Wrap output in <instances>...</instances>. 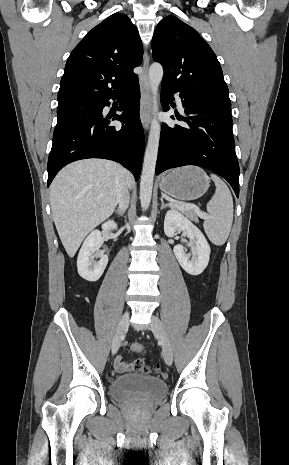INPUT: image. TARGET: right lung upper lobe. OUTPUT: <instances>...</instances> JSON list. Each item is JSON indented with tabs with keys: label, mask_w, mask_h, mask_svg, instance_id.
Returning a JSON list of instances; mask_svg holds the SVG:
<instances>
[{
	"label": "right lung upper lobe",
	"mask_w": 289,
	"mask_h": 465,
	"mask_svg": "<svg viewBox=\"0 0 289 465\" xmlns=\"http://www.w3.org/2000/svg\"><path fill=\"white\" fill-rule=\"evenodd\" d=\"M142 42L137 28L116 13L94 27L70 54L60 82L58 105L73 101H101L122 92L138 79Z\"/></svg>",
	"instance_id": "1"
}]
</instances>
